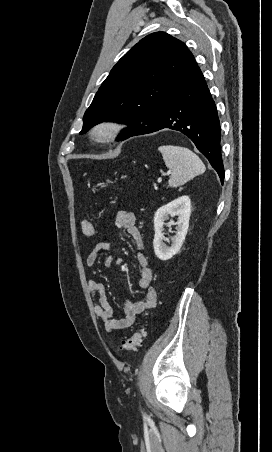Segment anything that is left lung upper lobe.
<instances>
[{"label": "left lung upper lobe", "instance_id": "1", "mask_svg": "<svg viewBox=\"0 0 272 452\" xmlns=\"http://www.w3.org/2000/svg\"><path fill=\"white\" fill-rule=\"evenodd\" d=\"M194 61L186 45L171 35L146 36L112 68L84 114L80 134L103 121L128 125L119 140L153 126Z\"/></svg>", "mask_w": 272, "mask_h": 452}]
</instances>
